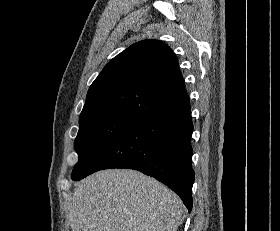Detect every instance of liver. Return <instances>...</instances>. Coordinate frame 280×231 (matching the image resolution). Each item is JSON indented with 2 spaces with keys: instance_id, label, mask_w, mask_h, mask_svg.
Listing matches in <instances>:
<instances>
[{
  "instance_id": "6515ba94",
  "label": "liver",
  "mask_w": 280,
  "mask_h": 231,
  "mask_svg": "<svg viewBox=\"0 0 280 231\" xmlns=\"http://www.w3.org/2000/svg\"><path fill=\"white\" fill-rule=\"evenodd\" d=\"M183 205L166 185L135 169H103L77 183L72 231H177Z\"/></svg>"
}]
</instances>
